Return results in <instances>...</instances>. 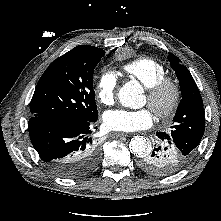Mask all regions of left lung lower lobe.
I'll use <instances>...</instances> for the list:
<instances>
[{"label": "left lung lower lobe", "instance_id": "left-lung-lower-lobe-1", "mask_svg": "<svg viewBox=\"0 0 221 221\" xmlns=\"http://www.w3.org/2000/svg\"><path fill=\"white\" fill-rule=\"evenodd\" d=\"M158 143L153 151L141 156L138 166L154 176H169L182 170L191 160L184 155L169 133L156 132Z\"/></svg>", "mask_w": 221, "mask_h": 221}]
</instances>
